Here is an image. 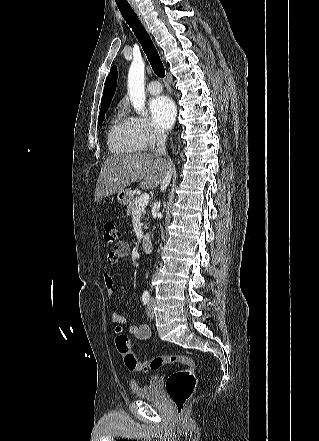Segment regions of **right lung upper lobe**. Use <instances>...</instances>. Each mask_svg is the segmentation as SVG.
Masks as SVG:
<instances>
[{
    "label": "right lung upper lobe",
    "mask_w": 319,
    "mask_h": 441,
    "mask_svg": "<svg viewBox=\"0 0 319 441\" xmlns=\"http://www.w3.org/2000/svg\"><path fill=\"white\" fill-rule=\"evenodd\" d=\"M116 83H117V67L113 66L106 79L102 102H101V109L104 107H109L116 90Z\"/></svg>",
    "instance_id": "cb5924a9"
}]
</instances>
